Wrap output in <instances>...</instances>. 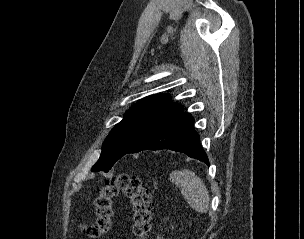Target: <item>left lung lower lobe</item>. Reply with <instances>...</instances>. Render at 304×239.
I'll use <instances>...</instances> for the list:
<instances>
[{
	"label": "left lung lower lobe",
	"instance_id": "obj_1",
	"mask_svg": "<svg viewBox=\"0 0 304 239\" xmlns=\"http://www.w3.org/2000/svg\"><path fill=\"white\" fill-rule=\"evenodd\" d=\"M161 149L182 152L209 165L208 157L200 145L199 135L194 129V119L186 112L153 131L126 154Z\"/></svg>",
	"mask_w": 304,
	"mask_h": 239
}]
</instances>
